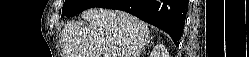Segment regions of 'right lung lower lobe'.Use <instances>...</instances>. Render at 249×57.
<instances>
[{"instance_id": "right-lung-lower-lobe-1", "label": "right lung lower lobe", "mask_w": 249, "mask_h": 57, "mask_svg": "<svg viewBox=\"0 0 249 57\" xmlns=\"http://www.w3.org/2000/svg\"><path fill=\"white\" fill-rule=\"evenodd\" d=\"M99 7L135 15L167 32L177 46L185 24L188 0H107Z\"/></svg>"}]
</instances>
